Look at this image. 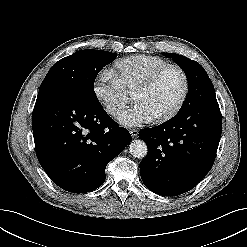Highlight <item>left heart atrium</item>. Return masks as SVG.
I'll list each match as a JSON object with an SVG mask.
<instances>
[{
	"label": "left heart atrium",
	"instance_id": "39dd6f15",
	"mask_svg": "<svg viewBox=\"0 0 247 247\" xmlns=\"http://www.w3.org/2000/svg\"><path fill=\"white\" fill-rule=\"evenodd\" d=\"M154 118L153 114L142 103H135L133 107L121 111L117 115L118 121L125 126L147 123Z\"/></svg>",
	"mask_w": 247,
	"mask_h": 247
}]
</instances>
